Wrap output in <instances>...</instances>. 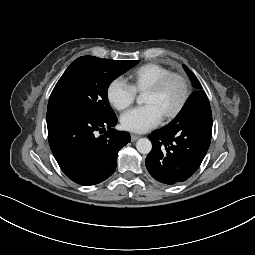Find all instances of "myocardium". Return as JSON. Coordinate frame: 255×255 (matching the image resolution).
Segmentation results:
<instances>
[{
	"label": "myocardium",
	"mask_w": 255,
	"mask_h": 255,
	"mask_svg": "<svg viewBox=\"0 0 255 255\" xmlns=\"http://www.w3.org/2000/svg\"><path fill=\"white\" fill-rule=\"evenodd\" d=\"M172 78H178L183 86V95L182 98L179 102V104L169 113L164 115L165 119H172L174 117H176L184 108L189 95H190V85H189V81L186 78L185 75L178 73V72H170L164 76H162L160 79H158L153 85H151L146 91V92H151V93H156L158 91H160L164 85Z\"/></svg>",
	"instance_id": "1"
}]
</instances>
